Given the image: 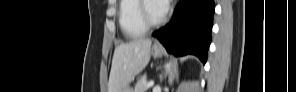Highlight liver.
Here are the masks:
<instances>
[{"label":"liver","mask_w":296,"mask_h":92,"mask_svg":"<svg viewBox=\"0 0 296 92\" xmlns=\"http://www.w3.org/2000/svg\"><path fill=\"white\" fill-rule=\"evenodd\" d=\"M152 41L136 38L115 48L108 82V92H122L135 75L140 73L150 60Z\"/></svg>","instance_id":"obj_1"}]
</instances>
